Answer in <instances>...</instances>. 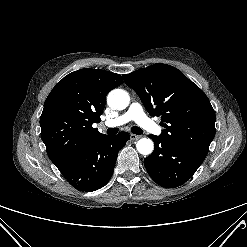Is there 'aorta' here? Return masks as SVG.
I'll list each match as a JSON object with an SVG mask.
<instances>
[{"label":"aorta","mask_w":247,"mask_h":247,"mask_svg":"<svg viewBox=\"0 0 247 247\" xmlns=\"http://www.w3.org/2000/svg\"><path fill=\"white\" fill-rule=\"evenodd\" d=\"M129 102L130 97L128 93L122 89L112 90L107 97L108 105L115 110L125 109L129 105ZM136 148L140 154L149 155L153 152L154 144L151 139L142 138L137 142Z\"/></svg>","instance_id":"obj_1"}]
</instances>
